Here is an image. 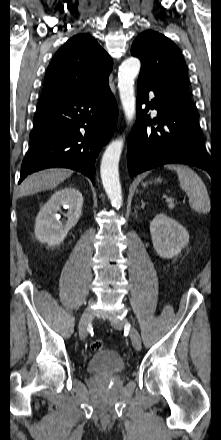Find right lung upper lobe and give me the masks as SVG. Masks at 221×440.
Listing matches in <instances>:
<instances>
[{"instance_id": "obj_1", "label": "right lung upper lobe", "mask_w": 221, "mask_h": 440, "mask_svg": "<svg viewBox=\"0 0 221 440\" xmlns=\"http://www.w3.org/2000/svg\"><path fill=\"white\" fill-rule=\"evenodd\" d=\"M112 66L111 57L93 37L75 35L49 64L40 102L101 92L109 87Z\"/></svg>"}]
</instances>
